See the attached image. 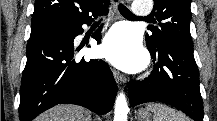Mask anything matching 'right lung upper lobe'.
<instances>
[{
    "label": "right lung upper lobe",
    "instance_id": "obj_1",
    "mask_svg": "<svg viewBox=\"0 0 217 121\" xmlns=\"http://www.w3.org/2000/svg\"><path fill=\"white\" fill-rule=\"evenodd\" d=\"M110 0H35L32 23L56 20L75 24L98 14Z\"/></svg>",
    "mask_w": 217,
    "mask_h": 121
}]
</instances>
